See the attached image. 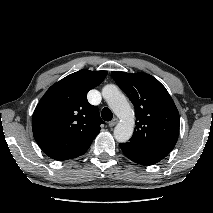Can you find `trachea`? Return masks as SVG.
I'll use <instances>...</instances> for the list:
<instances>
[{"instance_id":"obj_1","label":"trachea","mask_w":213,"mask_h":213,"mask_svg":"<svg viewBox=\"0 0 213 213\" xmlns=\"http://www.w3.org/2000/svg\"><path fill=\"white\" fill-rule=\"evenodd\" d=\"M101 116H102V119L105 121H111V119L113 118V114L111 110L107 107L103 108L101 112Z\"/></svg>"}]
</instances>
